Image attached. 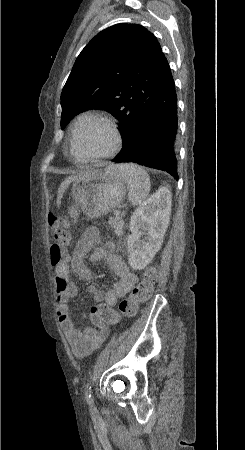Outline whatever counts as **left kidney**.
I'll return each instance as SVG.
<instances>
[{"label":"left kidney","mask_w":245,"mask_h":450,"mask_svg":"<svg viewBox=\"0 0 245 450\" xmlns=\"http://www.w3.org/2000/svg\"><path fill=\"white\" fill-rule=\"evenodd\" d=\"M171 202V192L161 187L131 216L127 247L133 270L144 269L161 248L170 220Z\"/></svg>","instance_id":"5707ae66"}]
</instances>
